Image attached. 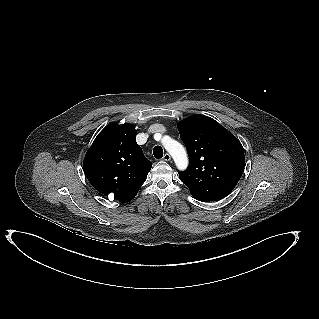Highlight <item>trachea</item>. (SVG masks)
I'll return each mask as SVG.
<instances>
[{
	"label": "trachea",
	"mask_w": 319,
	"mask_h": 319,
	"mask_svg": "<svg viewBox=\"0 0 319 319\" xmlns=\"http://www.w3.org/2000/svg\"><path fill=\"white\" fill-rule=\"evenodd\" d=\"M153 154L156 159H160L163 157V149L161 146H155L153 149Z\"/></svg>",
	"instance_id": "obj_1"
}]
</instances>
